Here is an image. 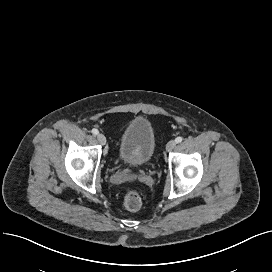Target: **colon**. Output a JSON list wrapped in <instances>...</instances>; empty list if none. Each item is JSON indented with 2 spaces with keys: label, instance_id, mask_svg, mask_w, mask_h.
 Here are the masks:
<instances>
[{
  "label": "colon",
  "instance_id": "colon-1",
  "mask_svg": "<svg viewBox=\"0 0 272 272\" xmlns=\"http://www.w3.org/2000/svg\"><path fill=\"white\" fill-rule=\"evenodd\" d=\"M122 205L126 210L131 212L139 210L142 205L140 193L134 190L128 192L122 200Z\"/></svg>",
  "mask_w": 272,
  "mask_h": 272
}]
</instances>
